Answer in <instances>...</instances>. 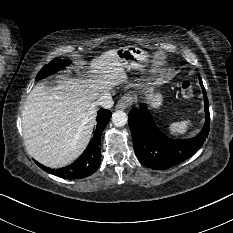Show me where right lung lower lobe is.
Wrapping results in <instances>:
<instances>
[{
	"instance_id": "98d812e1",
	"label": "right lung lower lobe",
	"mask_w": 233,
	"mask_h": 233,
	"mask_svg": "<svg viewBox=\"0 0 233 233\" xmlns=\"http://www.w3.org/2000/svg\"><path fill=\"white\" fill-rule=\"evenodd\" d=\"M112 113L107 109H100L97 115V128L93 138L83 154L71 165L61 169H50L36 162L43 170L67 179L84 178L92 175L101 163L100 139L104 128L107 126Z\"/></svg>"
}]
</instances>
